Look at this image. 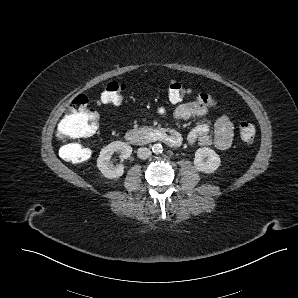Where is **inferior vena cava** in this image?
<instances>
[{
	"label": "inferior vena cava",
	"mask_w": 298,
	"mask_h": 298,
	"mask_svg": "<svg viewBox=\"0 0 298 298\" xmlns=\"http://www.w3.org/2000/svg\"><path fill=\"white\" fill-rule=\"evenodd\" d=\"M150 155H151V151H150V149H148L146 147H140L137 150V156L140 159H147L150 157Z\"/></svg>",
	"instance_id": "obj_1"
}]
</instances>
